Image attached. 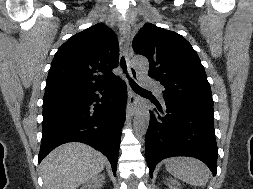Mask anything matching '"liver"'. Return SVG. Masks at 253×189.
Wrapping results in <instances>:
<instances>
[{
    "mask_svg": "<svg viewBox=\"0 0 253 189\" xmlns=\"http://www.w3.org/2000/svg\"><path fill=\"white\" fill-rule=\"evenodd\" d=\"M105 164L106 158L86 144H63L41 163L43 189H76L96 177Z\"/></svg>",
    "mask_w": 253,
    "mask_h": 189,
    "instance_id": "liver-1",
    "label": "liver"
}]
</instances>
